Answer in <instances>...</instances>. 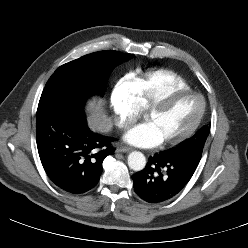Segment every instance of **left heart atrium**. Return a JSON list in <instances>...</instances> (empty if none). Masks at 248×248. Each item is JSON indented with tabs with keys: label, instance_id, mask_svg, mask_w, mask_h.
<instances>
[{
	"label": "left heart atrium",
	"instance_id": "1",
	"mask_svg": "<svg viewBox=\"0 0 248 248\" xmlns=\"http://www.w3.org/2000/svg\"><path fill=\"white\" fill-rule=\"evenodd\" d=\"M124 140L133 146L144 148L155 147L162 142L153 125L147 121L128 130Z\"/></svg>",
	"mask_w": 248,
	"mask_h": 248
}]
</instances>
